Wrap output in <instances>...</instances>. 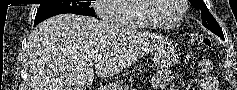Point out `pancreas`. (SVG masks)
<instances>
[{"label": "pancreas", "mask_w": 237, "mask_h": 90, "mask_svg": "<svg viewBox=\"0 0 237 90\" xmlns=\"http://www.w3.org/2000/svg\"><path fill=\"white\" fill-rule=\"evenodd\" d=\"M139 74H142V70H139ZM138 74V76H139ZM138 76H135V78H138ZM130 80H133V78H130Z\"/></svg>", "instance_id": "1"}]
</instances>
